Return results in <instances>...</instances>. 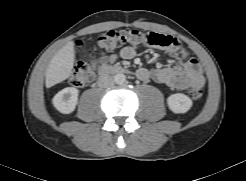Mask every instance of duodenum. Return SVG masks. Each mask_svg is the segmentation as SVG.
I'll return each mask as SVG.
<instances>
[{
  "label": "duodenum",
  "instance_id": "410a0bca",
  "mask_svg": "<svg viewBox=\"0 0 246 181\" xmlns=\"http://www.w3.org/2000/svg\"><path fill=\"white\" fill-rule=\"evenodd\" d=\"M127 71L128 70H126L125 68L121 66L103 65L99 70V74L101 76H104L107 74H120V73H124Z\"/></svg>",
  "mask_w": 246,
  "mask_h": 181
}]
</instances>
